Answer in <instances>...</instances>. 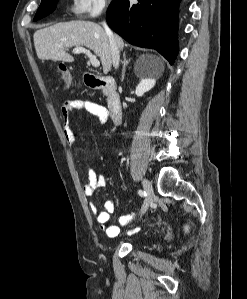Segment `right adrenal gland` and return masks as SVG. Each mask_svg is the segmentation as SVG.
Masks as SVG:
<instances>
[{
	"mask_svg": "<svg viewBox=\"0 0 247 299\" xmlns=\"http://www.w3.org/2000/svg\"><path fill=\"white\" fill-rule=\"evenodd\" d=\"M130 62V59L126 58V52L123 53V69H122V77L125 76V71L128 63Z\"/></svg>",
	"mask_w": 247,
	"mask_h": 299,
	"instance_id": "2a0ac1e0",
	"label": "right adrenal gland"
}]
</instances>
